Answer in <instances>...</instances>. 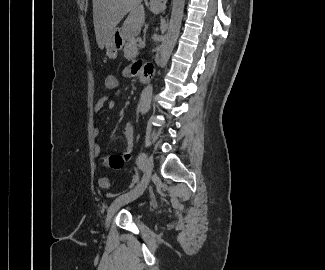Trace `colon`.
<instances>
[{
	"label": "colon",
	"mask_w": 325,
	"mask_h": 270,
	"mask_svg": "<svg viewBox=\"0 0 325 270\" xmlns=\"http://www.w3.org/2000/svg\"><path fill=\"white\" fill-rule=\"evenodd\" d=\"M117 87H118L117 77L112 73L107 74L104 78V88L108 91H113V90L117 89ZM99 185L102 188H108L109 187L108 178L105 176L100 177Z\"/></svg>",
	"instance_id": "1"
}]
</instances>
